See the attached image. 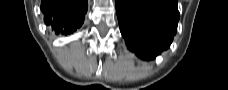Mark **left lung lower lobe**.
Instances as JSON below:
<instances>
[{"label":"left lung lower lobe","instance_id":"0a47b994","mask_svg":"<svg viewBox=\"0 0 228 90\" xmlns=\"http://www.w3.org/2000/svg\"><path fill=\"white\" fill-rule=\"evenodd\" d=\"M120 31L130 50L151 59L166 50L177 31V0H115Z\"/></svg>","mask_w":228,"mask_h":90}]
</instances>
